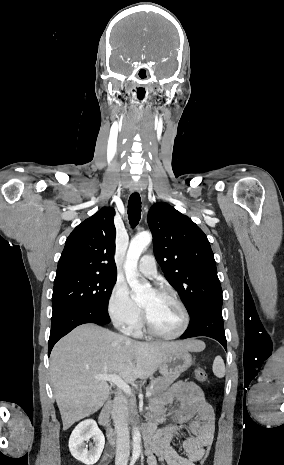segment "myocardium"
<instances>
[{
  "mask_svg": "<svg viewBox=\"0 0 284 465\" xmlns=\"http://www.w3.org/2000/svg\"><path fill=\"white\" fill-rule=\"evenodd\" d=\"M155 293L157 295L166 297L167 299L172 301L179 308V310L181 311L182 317H183L182 327L177 333L172 334V335L158 334L155 331H153V329L150 327V325L148 323L149 318L147 317V315L143 311H142V318H141V322H140V327L143 329V331L147 335H149L152 338L158 339V340L170 341V340H175V339H178V338L182 337L186 333V331H187V329L189 327V324H190V315L188 313L187 308L185 307V305L182 303V301L176 295H174L173 293H171L170 291H168L166 289L156 290Z\"/></svg>",
  "mask_w": 284,
  "mask_h": 465,
  "instance_id": "f54148a6",
  "label": "myocardium"
}]
</instances>
